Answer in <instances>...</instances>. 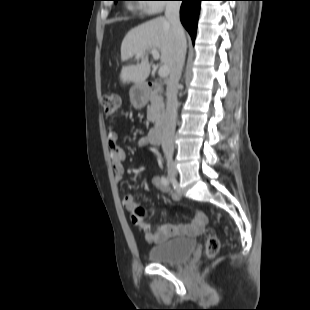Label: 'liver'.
<instances>
[{
  "label": "liver",
  "mask_w": 310,
  "mask_h": 310,
  "mask_svg": "<svg viewBox=\"0 0 310 310\" xmlns=\"http://www.w3.org/2000/svg\"><path fill=\"white\" fill-rule=\"evenodd\" d=\"M174 33L170 22L165 17H157L131 29L121 44V59L126 61L143 52L141 62L124 66L120 73L122 83L143 84L150 74V63L146 51L157 49L161 53V63L169 68L173 63Z\"/></svg>",
  "instance_id": "6515ba94"
}]
</instances>
